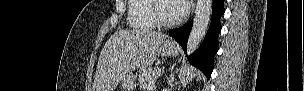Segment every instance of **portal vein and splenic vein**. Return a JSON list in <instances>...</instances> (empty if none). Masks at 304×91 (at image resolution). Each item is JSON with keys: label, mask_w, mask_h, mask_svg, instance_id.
Returning <instances> with one entry per match:
<instances>
[{"label": "portal vein and splenic vein", "mask_w": 304, "mask_h": 91, "mask_svg": "<svg viewBox=\"0 0 304 91\" xmlns=\"http://www.w3.org/2000/svg\"><path fill=\"white\" fill-rule=\"evenodd\" d=\"M148 89H149L150 91H153V90L155 89V87H154V85H153V86H151V87H148Z\"/></svg>", "instance_id": "1"}]
</instances>
